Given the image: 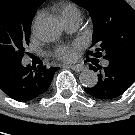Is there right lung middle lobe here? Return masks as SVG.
Instances as JSON below:
<instances>
[{
    "mask_svg": "<svg viewBox=\"0 0 135 135\" xmlns=\"http://www.w3.org/2000/svg\"><path fill=\"white\" fill-rule=\"evenodd\" d=\"M34 15L21 0H0V56L22 60Z\"/></svg>",
    "mask_w": 135,
    "mask_h": 135,
    "instance_id": "1",
    "label": "right lung middle lobe"
}]
</instances>
